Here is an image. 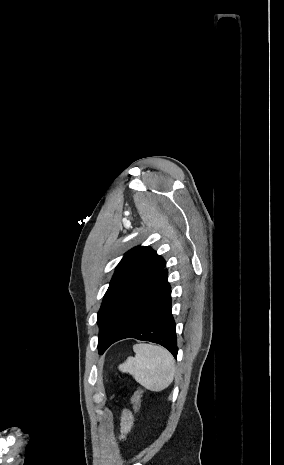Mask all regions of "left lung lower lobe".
<instances>
[{
  "label": "left lung lower lobe",
  "instance_id": "0a47b994",
  "mask_svg": "<svg viewBox=\"0 0 284 465\" xmlns=\"http://www.w3.org/2000/svg\"><path fill=\"white\" fill-rule=\"evenodd\" d=\"M167 278L168 272L164 268L124 306L104 338L100 354L121 339L136 338L160 344L177 358L176 327Z\"/></svg>",
  "mask_w": 284,
  "mask_h": 465
}]
</instances>
